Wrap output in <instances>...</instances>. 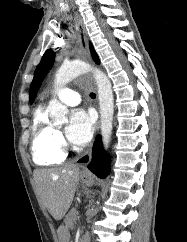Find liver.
<instances>
[{
  "label": "liver",
  "instance_id": "6515ba94",
  "mask_svg": "<svg viewBox=\"0 0 187 242\" xmlns=\"http://www.w3.org/2000/svg\"><path fill=\"white\" fill-rule=\"evenodd\" d=\"M79 178V167L74 164L34 171L39 195L55 220H61L70 208Z\"/></svg>",
  "mask_w": 187,
  "mask_h": 242
}]
</instances>
